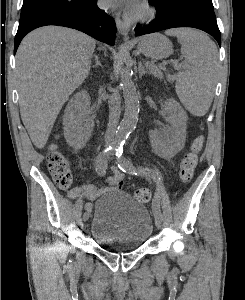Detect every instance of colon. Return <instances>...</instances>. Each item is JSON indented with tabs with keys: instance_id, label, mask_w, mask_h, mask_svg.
Returning <instances> with one entry per match:
<instances>
[{
	"instance_id": "obj_1",
	"label": "colon",
	"mask_w": 245,
	"mask_h": 300,
	"mask_svg": "<svg viewBox=\"0 0 245 300\" xmlns=\"http://www.w3.org/2000/svg\"><path fill=\"white\" fill-rule=\"evenodd\" d=\"M203 144V135H198L194 138L189 151L183 157L179 170L182 182L187 183L192 179ZM47 160L48 168L55 184L60 189H67L72 182L70 163L67 157L56 147H52ZM134 197L138 202L147 203L151 199V192L148 188H139L134 192Z\"/></svg>"
}]
</instances>
